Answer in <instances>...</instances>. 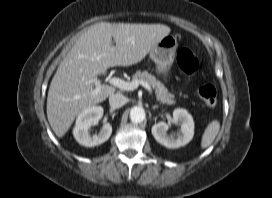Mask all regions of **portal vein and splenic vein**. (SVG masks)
Masks as SVG:
<instances>
[{
	"instance_id": "portal-vein-and-splenic-vein-1",
	"label": "portal vein and splenic vein",
	"mask_w": 272,
	"mask_h": 198,
	"mask_svg": "<svg viewBox=\"0 0 272 198\" xmlns=\"http://www.w3.org/2000/svg\"><path fill=\"white\" fill-rule=\"evenodd\" d=\"M107 81L111 85H113L121 90H125V91H132V90L136 89L139 85H142L151 95L153 94V91H152L150 85L145 81L133 80L131 82H127V81H124V80L117 78V77H108ZM93 82L96 85L94 93L97 94L101 90V81L98 79H95Z\"/></svg>"
}]
</instances>
